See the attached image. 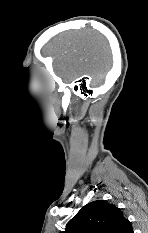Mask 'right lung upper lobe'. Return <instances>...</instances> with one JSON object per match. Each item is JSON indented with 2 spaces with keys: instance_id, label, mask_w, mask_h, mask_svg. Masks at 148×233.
<instances>
[{
  "instance_id": "cb5924a9",
  "label": "right lung upper lobe",
  "mask_w": 148,
  "mask_h": 233,
  "mask_svg": "<svg viewBox=\"0 0 148 233\" xmlns=\"http://www.w3.org/2000/svg\"><path fill=\"white\" fill-rule=\"evenodd\" d=\"M61 233H133L123 212L104 200L83 206Z\"/></svg>"
}]
</instances>
